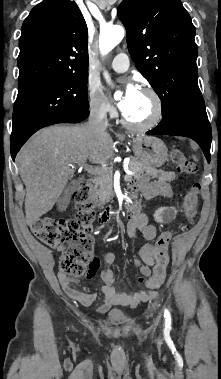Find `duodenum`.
<instances>
[{"mask_svg":"<svg viewBox=\"0 0 221 379\" xmlns=\"http://www.w3.org/2000/svg\"><path fill=\"white\" fill-rule=\"evenodd\" d=\"M83 188L90 191L91 188V181L89 179L84 180L83 182ZM139 210V204L137 202H134L128 209V216L134 215ZM112 218V211L107 209L100 213L99 215V221L100 222H107Z\"/></svg>","mask_w":221,"mask_h":379,"instance_id":"1","label":"duodenum"}]
</instances>
